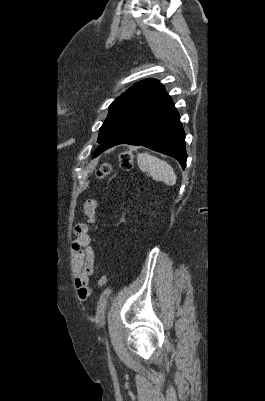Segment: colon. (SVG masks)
Masks as SVG:
<instances>
[{"instance_id":"1","label":"colon","mask_w":265,"mask_h":401,"mask_svg":"<svg viewBox=\"0 0 265 401\" xmlns=\"http://www.w3.org/2000/svg\"><path fill=\"white\" fill-rule=\"evenodd\" d=\"M135 161V152L133 150H125L119 155V164L122 169L124 170H130L133 167ZM110 165L109 164H103L100 166V168L97 171V177L98 178H104L107 176L110 172ZM99 284L102 287H105L107 284V277L106 275H101L99 278Z\"/></svg>"}]
</instances>
